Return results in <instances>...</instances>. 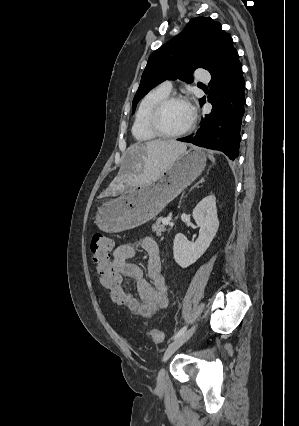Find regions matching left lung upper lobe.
Instances as JSON below:
<instances>
[{"mask_svg": "<svg viewBox=\"0 0 299 426\" xmlns=\"http://www.w3.org/2000/svg\"><path fill=\"white\" fill-rule=\"evenodd\" d=\"M236 50L231 35L210 17L193 18L184 30L154 51L141 77L134 96L133 111L138 101L165 80L192 81V72L202 67L210 71L227 53Z\"/></svg>", "mask_w": 299, "mask_h": 426, "instance_id": "obj_1", "label": "left lung upper lobe"}]
</instances>
